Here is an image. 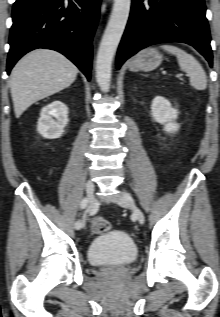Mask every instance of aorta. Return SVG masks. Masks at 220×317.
<instances>
[{
    "instance_id": "obj_1",
    "label": "aorta",
    "mask_w": 220,
    "mask_h": 317,
    "mask_svg": "<svg viewBox=\"0 0 220 317\" xmlns=\"http://www.w3.org/2000/svg\"><path fill=\"white\" fill-rule=\"evenodd\" d=\"M131 0H114L107 27L104 31L96 59V79L102 92H108L111 82L112 62L125 30Z\"/></svg>"
}]
</instances>
